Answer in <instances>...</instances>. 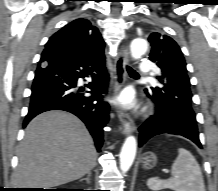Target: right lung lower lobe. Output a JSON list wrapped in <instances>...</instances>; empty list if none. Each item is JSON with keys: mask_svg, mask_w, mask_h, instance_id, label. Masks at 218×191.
Instances as JSON below:
<instances>
[{"mask_svg": "<svg viewBox=\"0 0 218 191\" xmlns=\"http://www.w3.org/2000/svg\"><path fill=\"white\" fill-rule=\"evenodd\" d=\"M90 77L91 96L76 89L78 78ZM108 78L104 55L79 57L56 49L41 55L32 85L25 127L36 115L49 110H64L78 116L94 138L98 151L103 143L102 128L108 121L109 105L102 101Z\"/></svg>", "mask_w": 218, "mask_h": 191, "instance_id": "right-lung-lower-lobe-1", "label": "right lung lower lobe"}]
</instances>
